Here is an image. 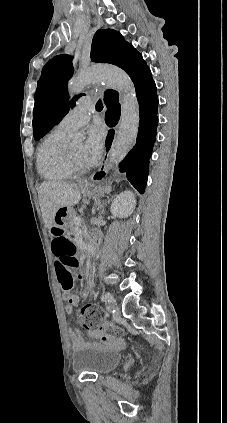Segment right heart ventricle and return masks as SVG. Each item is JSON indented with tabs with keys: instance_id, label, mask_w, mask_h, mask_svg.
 I'll return each mask as SVG.
<instances>
[{
	"instance_id": "obj_1",
	"label": "right heart ventricle",
	"mask_w": 227,
	"mask_h": 423,
	"mask_svg": "<svg viewBox=\"0 0 227 423\" xmlns=\"http://www.w3.org/2000/svg\"><path fill=\"white\" fill-rule=\"evenodd\" d=\"M71 132L53 128L37 148V171L47 180H64L72 175L67 158L66 140Z\"/></svg>"
}]
</instances>
